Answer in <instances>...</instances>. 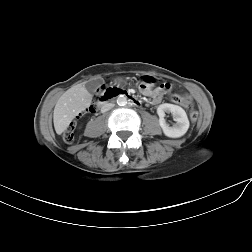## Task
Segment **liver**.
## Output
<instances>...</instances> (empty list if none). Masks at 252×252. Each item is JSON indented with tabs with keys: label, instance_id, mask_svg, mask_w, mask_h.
Listing matches in <instances>:
<instances>
[{
	"label": "liver",
	"instance_id": "1",
	"mask_svg": "<svg viewBox=\"0 0 252 252\" xmlns=\"http://www.w3.org/2000/svg\"><path fill=\"white\" fill-rule=\"evenodd\" d=\"M91 101L92 96L84 84L75 85L63 93L54 108L53 122L56 133H63L72 120L90 106Z\"/></svg>",
	"mask_w": 252,
	"mask_h": 252
}]
</instances>
